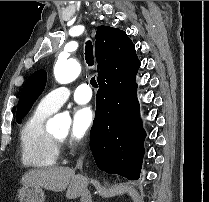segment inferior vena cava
Listing matches in <instances>:
<instances>
[{
    "label": "inferior vena cava",
    "instance_id": "1",
    "mask_svg": "<svg viewBox=\"0 0 209 202\" xmlns=\"http://www.w3.org/2000/svg\"><path fill=\"white\" fill-rule=\"evenodd\" d=\"M83 166V156L79 158L76 164V169H82ZM80 202H92V197L90 191L87 189V186L83 189L81 193Z\"/></svg>",
    "mask_w": 209,
    "mask_h": 202
}]
</instances>
